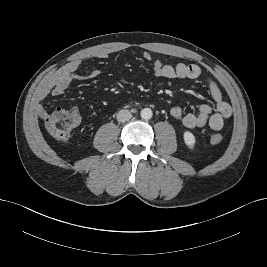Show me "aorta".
Masks as SVG:
<instances>
[{"label": "aorta", "instance_id": "aorta-1", "mask_svg": "<svg viewBox=\"0 0 267 267\" xmlns=\"http://www.w3.org/2000/svg\"><path fill=\"white\" fill-rule=\"evenodd\" d=\"M141 118L144 119V120H149L152 118V110L150 108H144L142 109L141 113Z\"/></svg>", "mask_w": 267, "mask_h": 267}]
</instances>
